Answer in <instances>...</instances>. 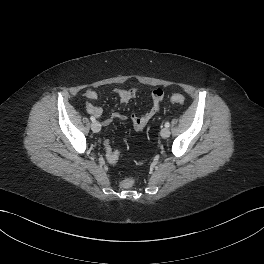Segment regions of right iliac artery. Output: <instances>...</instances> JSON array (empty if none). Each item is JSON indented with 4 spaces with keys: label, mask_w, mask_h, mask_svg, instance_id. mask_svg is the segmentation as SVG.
<instances>
[{
    "label": "right iliac artery",
    "mask_w": 264,
    "mask_h": 264,
    "mask_svg": "<svg viewBox=\"0 0 264 264\" xmlns=\"http://www.w3.org/2000/svg\"><path fill=\"white\" fill-rule=\"evenodd\" d=\"M90 119L92 122H94L96 120L94 116H91Z\"/></svg>",
    "instance_id": "82829eb1"
}]
</instances>
